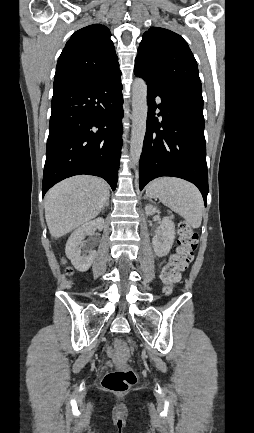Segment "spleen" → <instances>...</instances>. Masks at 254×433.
I'll list each match as a JSON object with an SVG mask.
<instances>
[{
  "instance_id": "spleen-1",
  "label": "spleen",
  "mask_w": 254,
  "mask_h": 433,
  "mask_svg": "<svg viewBox=\"0 0 254 433\" xmlns=\"http://www.w3.org/2000/svg\"><path fill=\"white\" fill-rule=\"evenodd\" d=\"M146 195L159 200L182 216L193 228L202 222L203 199L193 184L174 177H161L152 181Z\"/></svg>"
}]
</instances>
